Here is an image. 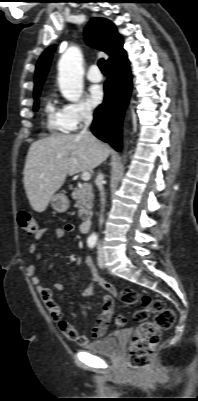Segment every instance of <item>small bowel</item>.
<instances>
[{
  "label": "small bowel",
  "mask_w": 198,
  "mask_h": 401,
  "mask_svg": "<svg viewBox=\"0 0 198 401\" xmlns=\"http://www.w3.org/2000/svg\"><path fill=\"white\" fill-rule=\"evenodd\" d=\"M74 229L75 227L72 224H66L64 227H41L36 233L34 242H32L29 246V253L31 257L34 260L41 259V253L37 248V242H39L46 233L52 232L55 239L61 240L65 237L67 233L73 232ZM85 262L92 271V278L89 287L82 292L80 297L82 299L89 298L94 287H101L109 293L102 300V311L97 319L95 326L92 329V338L98 339L105 335L108 323L111 320L114 309L113 295L115 294V289L109 282H107L100 276L89 257L85 258ZM57 266L58 263H52L49 265L47 270L50 271ZM27 272L31 278L33 285L36 287V290L38 291L44 304L46 305L51 317L54 321L59 323L61 334L65 338L75 341L81 346L86 345L89 342L90 338L88 336L81 335L74 326L63 319L62 311L55 303L52 291L42 285V280L37 274L35 266L29 265L27 267ZM54 287L58 291L64 290V286L60 282H56L54 284Z\"/></svg>",
  "instance_id": "obj_1"
}]
</instances>
